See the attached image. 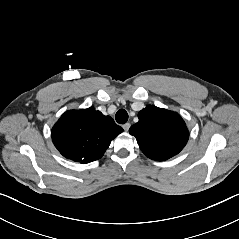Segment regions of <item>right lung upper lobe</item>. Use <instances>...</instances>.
<instances>
[{"label":"right lung upper lobe","instance_id":"1","mask_svg":"<svg viewBox=\"0 0 239 239\" xmlns=\"http://www.w3.org/2000/svg\"><path fill=\"white\" fill-rule=\"evenodd\" d=\"M122 131L110 116L90 107L65 112L52 128L51 136L64 157L86 164L100 159Z\"/></svg>","mask_w":239,"mask_h":239}]
</instances>
